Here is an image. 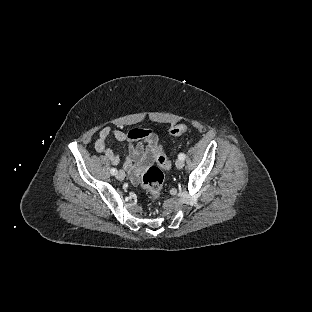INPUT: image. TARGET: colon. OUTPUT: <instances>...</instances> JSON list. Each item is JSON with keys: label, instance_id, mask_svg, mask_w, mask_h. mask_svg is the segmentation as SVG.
<instances>
[{"label": "colon", "instance_id": "obj_1", "mask_svg": "<svg viewBox=\"0 0 312 312\" xmlns=\"http://www.w3.org/2000/svg\"><path fill=\"white\" fill-rule=\"evenodd\" d=\"M189 127L186 124L180 126L174 125L171 128V133L173 135H181L182 133L188 132ZM153 133L152 129H145L140 132V136L148 137ZM157 164L163 169H169L170 161L164 154H160L157 157ZM164 184V175L156 168L150 167L141 177V185L146 189V191L153 197L158 198L161 194Z\"/></svg>", "mask_w": 312, "mask_h": 312}]
</instances>
